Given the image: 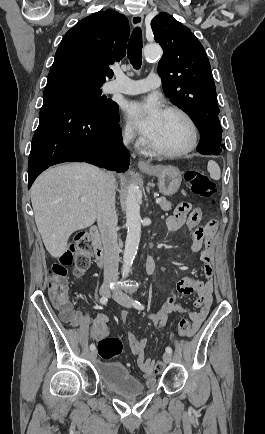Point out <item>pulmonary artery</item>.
<instances>
[{"instance_id": "1", "label": "pulmonary artery", "mask_w": 265, "mask_h": 434, "mask_svg": "<svg viewBox=\"0 0 265 434\" xmlns=\"http://www.w3.org/2000/svg\"><path fill=\"white\" fill-rule=\"evenodd\" d=\"M114 84L108 88L109 93H123L128 95H136L148 90H153L159 84V77L152 73L145 75L144 81H134L124 74H117Z\"/></svg>"}]
</instances>
